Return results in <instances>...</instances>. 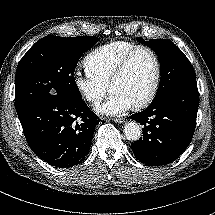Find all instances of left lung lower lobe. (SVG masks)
I'll return each mask as SVG.
<instances>
[{
	"label": "left lung lower lobe",
	"mask_w": 215,
	"mask_h": 215,
	"mask_svg": "<svg viewBox=\"0 0 215 215\" xmlns=\"http://www.w3.org/2000/svg\"><path fill=\"white\" fill-rule=\"evenodd\" d=\"M199 93L196 80L154 98L142 112L129 118L144 125L143 137L131 144L135 157L150 166L176 160L190 144L196 124Z\"/></svg>",
	"instance_id": "0a47b994"
}]
</instances>
